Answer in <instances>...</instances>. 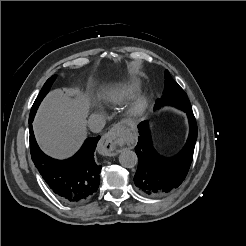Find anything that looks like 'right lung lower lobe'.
<instances>
[{
	"mask_svg": "<svg viewBox=\"0 0 246 246\" xmlns=\"http://www.w3.org/2000/svg\"><path fill=\"white\" fill-rule=\"evenodd\" d=\"M29 120L32 160L51 190L65 203L78 204L89 199L98 189L102 166L94 161L100 136L86 139L81 149L67 160H56L38 147Z\"/></svg>",
	"mask_w": 246,
	"mask_h": 246,
	"instance_id": "1",
	"label": "right lung lower lobe"
}]
</instances>
